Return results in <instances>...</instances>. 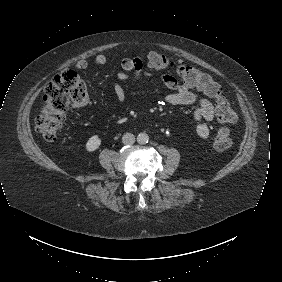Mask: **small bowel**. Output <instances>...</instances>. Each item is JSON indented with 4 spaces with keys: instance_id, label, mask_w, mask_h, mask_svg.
<instances>
[{
    "instance_id": "small-bowel-1",
    "label": "small bowel",
    "mask_w": 282,
    "mask_h": 282,
    "mask_svg": "<svg viewBox=\"0 0 282 282\" xmlns=\"http://www.w3.org/2000/svg\"><path fill=\"white\" fill-rule=\"evenodd\" d=\"M94 62L98 66L104 65L107 62V57L104 54H97ZM88 65V60L84 58L76 62V68L80 70L86 69ZM121 68L122 71L117 74V82L113 86L116 101L120 104L126 99L122 84L131 78V73L133 74V83L138 82L143 77L151 78L154 76L143 68L141 60L137 57L123 58L121 60ZM160 80L170 90L162 98L164 103L173 106L196 105L193 112V118L197 122L196 133L201 139H208L210 129L207 123L211 122L217 116L215 105L204 96L191 91L187 85L178 82L172 75L162 74ZM198 89L202 90L201 88Z\"/></svg>"
}]
</instances>
